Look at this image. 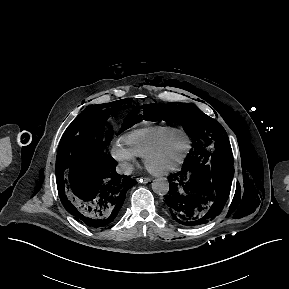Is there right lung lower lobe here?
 <instances>
[{
	"label": "right lung lower lobe",
	"instance_id": "obj_1",
	"mask_svg": "<svg viewBox=\"0 0 289 289\" xmlns=\"http://www.w3.org/2000/svg\"><path fill=\"white\" fill-rule=\"evenodd\" d=\"M115 168L109 154L90 156L57 183L62 204L78 222L102 230L120 217L126 193L137 182L119 175Z\"/></svg>",
	"mask_w": 289,
	"mask_h": 289
}]
</instances>
